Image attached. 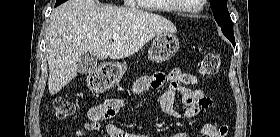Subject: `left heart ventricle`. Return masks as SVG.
<instances>
[{
    "instance_id": "left-heart-ventricle-1",
    "label": "left heart ventricle",
    "mask_w": 280,
    "mask_h": 137,
    "mask_svg": "<svg viewBox=\"0 0 280 137\" xmlns=\"http://www.w3.org/2000/svg\"><path fill=\"white\" fill-rule=\"evenodd\" d=\"M187 3L189 6H195L197 3V0H187Z\"/></svg>"
}]
</instances>
